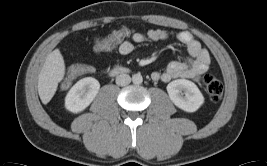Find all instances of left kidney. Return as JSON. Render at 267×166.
Returning <instances> with one entry per match:
<instances>
[{"label":"left kidney","instance_id":"5707ae66","mask_svg":"<svg viewBox=\"0 0 267 166\" xmlns=\"http://www.w3.org/2000/svg\"><path fill=\"white\" fill-rule=\"evenodd\" d=\"M171 101L186 112H195L204 103V97L196 84L186 79H177L167 85Z\"/></svg>","mask_w":267,"mask_h":166}]
</instances>
